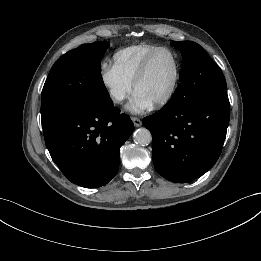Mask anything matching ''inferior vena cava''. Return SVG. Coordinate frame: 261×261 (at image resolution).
Here are the masks:
<instances>
[{
	"mask_svg": "<svg viewBox=\"0 0 261 261\" xmlns=\"http://www.w3.org/2000/svg\"><path fill=\"white\" fill-rule=\"evenodd\" d=\"M118 99H119V100H122V99H123V96L118 97Z\"/></svg>",
	"mask_w": 261,
	"mask_h": 261,
	"instance_id": "1",
	"label": "inferior vena cava"
}]
</instances>
